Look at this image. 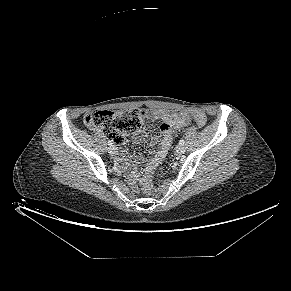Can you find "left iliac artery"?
I'll list each match as a JSON object with an SVG mask.
<instances>
[{
  "mask_svg": "<svg viewBox=\"0 0 291 291\" xmlns=\"http://www.w3.org/2000/svg\"><path fill=\"white\" fill-rule=\"evenodd\" d=\"M184 143H185L184 140H180V141H179V144H180V145H184Z\"/></svg>",
  "mask_w": 291,
  "mask_h": 291,
  "instance_id": "left-iliac-artery-1",
  "label": "left iliac artery"
}]
</instances>
